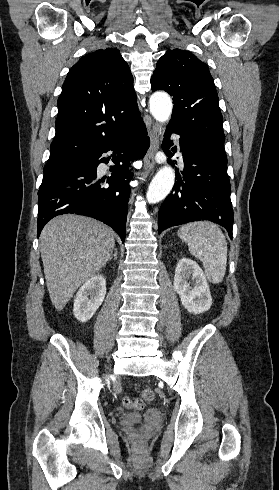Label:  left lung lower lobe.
<instances>
[{"label":"left lung lower lobe","mask_w":279,"mask_h":490,"mask_svg":"<svg viewBox=\"0 0 279 490\" xmlns=\"http://www.w3.org/2000/svg\"><path fill=\"white\" fill-rule=\"evenodd\" d=\"M172 132L180 135L183 178L176 172L178 181L159 211L158 233L171 226L209 220L223 226L232 239L233 209L224 145L169 124L166 134ZM170 143L165 135L166 152Z\"/></svg>","instance_id":"1"}]
</instances>
